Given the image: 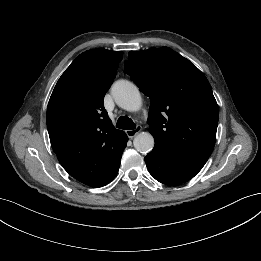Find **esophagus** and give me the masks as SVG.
I'll list each match as a JSON object with an SVG mask.
<instances>
[{"label":"esophagus","instance_id":"esophagus-1","mask_svg":"<svg viewBox=\"0 0 261 261\" xmlns=\"http://www.w3.org/2000/svg\"><path fill=\"white\" fill-rule=\"evenodd\" d=\"M142 130V127L141 126H136L135 129H132V130H126V134L129 138H133L135 137L137 134H139Z\"/></svg>","mask_w":261,"mask_h":261}]
</instances>
